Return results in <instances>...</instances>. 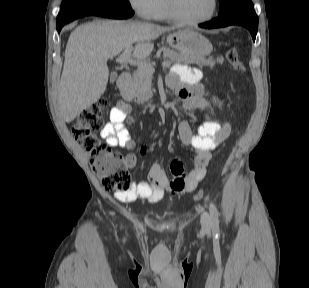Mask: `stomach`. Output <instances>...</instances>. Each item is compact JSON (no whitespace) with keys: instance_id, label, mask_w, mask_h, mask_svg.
<instances>
[{"instance_id":"obj_1","label":"stomach","mask_w":309,"mask_h":288,"mask_svg":"<svg viewBox=\"0 0 309 288\" xmlns=\"http://www.w3.org/2000/svg\"><path fill=\"white\" fill-rule=\"evenodd\" d=\"M168 44L187 56H207L212 52V44L201 33L184 29L167 36Z\"/></svg>"}]
</instances>
